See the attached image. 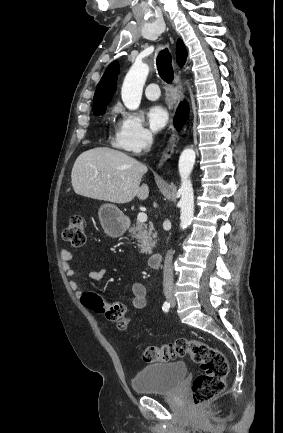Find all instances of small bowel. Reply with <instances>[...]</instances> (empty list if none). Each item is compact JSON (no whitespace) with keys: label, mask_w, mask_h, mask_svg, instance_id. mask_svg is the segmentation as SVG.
Returning <instances> with one entry per match:
<instances>
[{"label":"small bowel","mask_w":283,"mask_h":433,"mask_svg":"<svg viewBox=\"0 0 283 433\" xmlns=\"http://www.w3.org/2000/svg\"><path fill=\"white\" fill-rule=\"evenodd\" d=\"M60 258L62 262V268L66 274V276L69 278V285L71 290L74 292L76 297H81L82 292L78 285V283L75 281L76 271L72 265V262L76 260V256L70 252L69 250L62 248L60 250ZM107 274V268H101L99 270H94L88 272V277L97 282L100 283L104 277ZM146 288L145 286L140 282H134L131 286V295H132V305L136 309H143L147 304V297H146Z\"/></svg>","instance_id":"1"}]
</instances>
